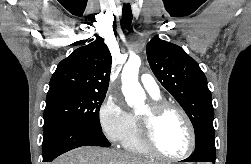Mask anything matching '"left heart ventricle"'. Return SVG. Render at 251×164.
<instances>
[{
  "label": "left heart ventricle",
  "instance_id": "1",
  "mask_svg": "<svg viewBox=\"0 0 251 164\" xmlns=\"http://www.w3.org/2000/svg\"><path fill=\"white\" fill-rule=\"evenodd\" d=\"M149 113L147 108L141 116ZM155 139L160 150L169 156L184 154L190 143L187 125L182 116L173 110L165 112L156 124Z\"/></svg>",
  "mask_w": 251,
  "mask_h": 164
}]
</instances>
